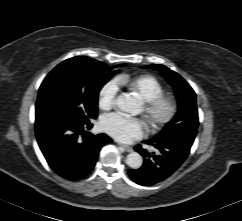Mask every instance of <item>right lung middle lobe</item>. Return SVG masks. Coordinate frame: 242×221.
<instances>
[{"label":"right lung middle lobe","instance_id":"right-lung-middle-lobe-1","mask_svg":"<svg viewBox=\"0 0 242 221\" xmlns=\"http://www.w3.org/2000/svg\"><path fill=\"white\" fill-rule=\"evenodd\" d=\"M117 72L89 57L70 58L44 79L36 103V119L61 116L86 121L98 115V94Z\"/></svg>","mask_w":242,"mask_h":221}]
</instances>
